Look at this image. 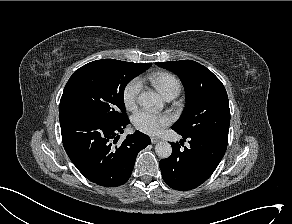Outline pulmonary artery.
I'll return each instance as SVG.
<instances>
[{
    "label": "pulmonary artery",
    "mask_w": 292,
    "mask_h": 224,
    "mask_svg": "<svg viewBox=\"0 0 292 224\" xmlns=\"http://www.w3.org/2000/svg\"><path fill=\"white\" fill-rule=\"evenodd\" d=\"M174 98H175V95H168V96L165 97V99H166L167 101H170V100H172V99H174Z\"/></svg>",
    "instance_id": "pulmonary-artery-1"
}]
</instances>
